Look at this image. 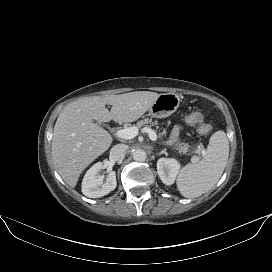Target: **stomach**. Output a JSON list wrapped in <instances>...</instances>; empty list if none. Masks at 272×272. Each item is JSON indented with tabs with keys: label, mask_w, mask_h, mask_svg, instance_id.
<instances>
[{
	"label": "stomach",
	"mask_w": 272,
	"mask_h": 272,
	"mask_svg": "<svg viewBox=\"0 0 272 272\" xmlns=\"http://www.w3.org/2000/svg\"><path fill=\"white\" fill-rule=\"evenodd\" d=\"M180 104V98L175 93H163L149 109V114L155 118H166L173 114Z\"/></svg>",
	"instance_id": "1"
}]
</instances>
